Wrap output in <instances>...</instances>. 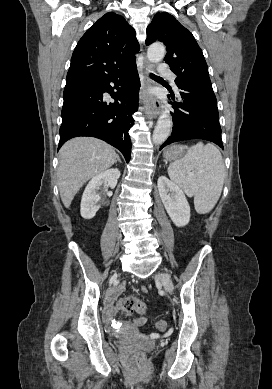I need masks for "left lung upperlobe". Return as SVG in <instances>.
I'll use <instances>...</instances> for the list:
<instances>
[{"mask_svg":"<svg viewBox=\"0 0 272 389\" xmlns=\"http://www.w3.org/2000/svg\"><path fill=\"white\" fill-rule=\"evenodd\" d=\"M165 44V62L177 75L175 82L210 79L207 63L194 36L169 13H158L147 27L146 45Z\"/></svg>","mask_w":272,"mask_h":389,"instance_id":"left-lung-upper-lobe-1","label":"left lung upper lobe"}]
</instances>
